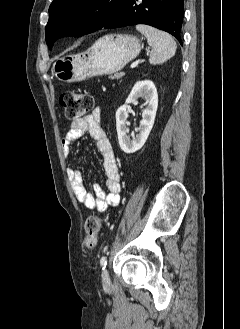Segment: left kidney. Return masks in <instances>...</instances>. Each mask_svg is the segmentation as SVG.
<instances>
[{
  "mask_svg": "<svg viewBox=\"0 0 240 329\" xmlns=\"http://www.w3.org/2000/svg\"><path fill=\"white\" fill-rule=\"evenodd\" d=\"M139 97L146 101L142 113L140 132L130 139L127 135V117L130 103H135ZM158 107V94L154 83L150 80L138 81L132 88L124 105L116 111V128L120 148L127 154L134 153L145 144L154 125Z\"/></svg>",
  "mask_w": 240,
  "mask_h": 329,
  "instance_id": "left-kidney-1",
  "label": "left kidney"
}]
</instances>
